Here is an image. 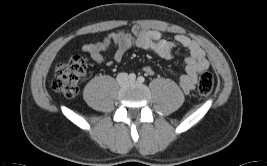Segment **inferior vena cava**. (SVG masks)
Wrapping results in <instances>:
<instances>
[{
	"instance_id": "inferior-vena-cava-1",
	"label": "inferior vena cava",
	"mask_w": 267,
	"mask_h": 166,
	"mask_svg": "<svg viewBox=\"0 0 267 166\" xmlns=\"http://www.w3.org/2000/svg\"><path fill=\"white\" fill-rule=\"evenodd\" d=\"M127 78V74H125V73H120L119 75H118V80H119V82H123V79H126Z\"/></svg>"
}]
</instances>
